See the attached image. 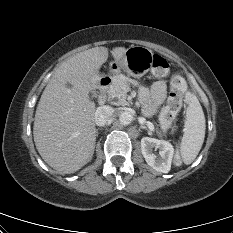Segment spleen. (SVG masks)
Returning a JSON list of instances; mask_svg holds the SVG:
<instances>
[{
	"instance_id": "3e777b00",
	"label": "spleen",
	"mask_w": 233,
	"mask_h": 233,
	"mask_svg": "<svg viewBox=\"0 0 233 233\" xmlns=\"http://www.w3.org/2000/svg\"><path fill=\"white\" fill-rule=\"evenodd\" d=\"M188 107L184 123V135L180 144L182 161L189 165L197 157L205 138V116L199 100L193 93L186 95Z\"/></svg>"
}]
</instances>
